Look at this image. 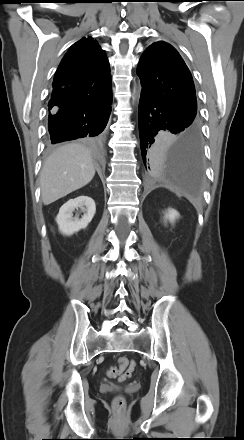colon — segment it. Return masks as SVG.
Here are the masks:
<instances>
[{
	"mask_svg": "<svg viewBox=\"0 0 244 440\" xmlns=\"http://www.w3.org/2000/svg\"><path fill=\"white\" fill-rule=\"evenodd\" d=\"M135 362L133 360H129L126 357H120L118 359L117 365L111 366L108 369V376L111 378H119L120 380H125L135 369ZM113 404L116 408H122L125 404V399L123 396L119 395L115 397Z\"/></svg>",
	"mask_w": 244,
	"mask_h": 440,
	"instance_id": "5ec220e1",
	"label": "colon"
}]
</instances>
